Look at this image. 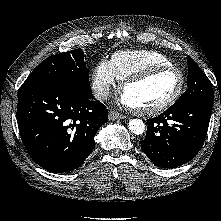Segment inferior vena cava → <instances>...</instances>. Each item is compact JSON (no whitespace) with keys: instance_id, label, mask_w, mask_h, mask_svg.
<instances>
[{"instance_id":"inferior-vena-cava-1","label":"inferior vena cava","mask_w":221,"mask_h":221,"mask_svg":"<svg viewBox=\"0 0 221 221\" xmlns=\"http://www.w3.org/2000/svg\"><path fill=\"white\" fill-rule=\"evenodd\" d=\"M94 96L99 101H105L107 100L109 96V88L108 87H102L94 92Z\"/></svg>"}]
</instances>
